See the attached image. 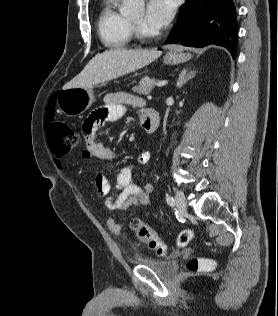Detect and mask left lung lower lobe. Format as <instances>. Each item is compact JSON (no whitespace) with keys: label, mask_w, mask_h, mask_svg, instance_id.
I'll return each mask as SVG.
<instances>
[{"label":"left lung lower lobe","mask_w":278,"mask_h":316,"mask_svg":"<svg viewBox=\"0 0 278 316\" xmlns=\"http://www.w3.org/2000/svg\"><path fill=\"white\" fill-rule=\"evenodd\" d=\"M237 33L232 0H186L166 42L192 47L216 44L226 47L234 57Z\"/></svg>","instance_id":"left-lung-lower-lobe-1"}]
</instances>
